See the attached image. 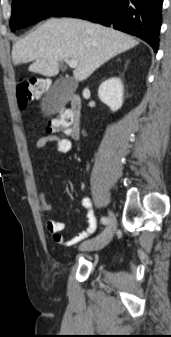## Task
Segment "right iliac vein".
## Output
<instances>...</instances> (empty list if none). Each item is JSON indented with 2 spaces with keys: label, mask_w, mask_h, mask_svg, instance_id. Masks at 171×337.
Instances as JSON below:
<instances>
[{
  "label": "right iliac vein",
  "mask_w": 171,
  "mask_h": 337,
  "mask_svg": "<svg viewBox=\"0 0 171 337\" xmlns=\"http://www.w3.org/2000/svg\"><path fill=\"white\" fill-rule=\"evenodd\" d=\"M116 225V218L114 214L109 211V222L104 231L97 237L84 241L80 246V250L93 251L104 248L113 238V235L116 231Z\"/></svg>",
  "instance_id": "63e3f726"
}]
</instances>
